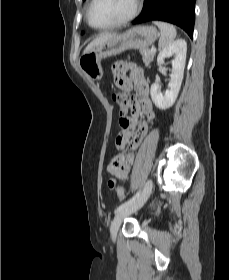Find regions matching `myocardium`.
I'll use <instances>...</instances> for the list:
<instances>
[{
	"mask_svg": "<svg viewBox=\"0 0 229 280\" xmlns=\"http://www.w3.org/2000/svg\"><path fill=\"white\" fill-rule=\"evenodd\" d=\"M97 1L98 0H92L91 4L89 6L88 12H87V20H88L89 25L92 28L98 29V30H103V29H108V28H113V27H118V26L125 25V24L131 22L133 19H135L142 9V0H135L134 8H133L132 12L127 17H125L121 20H118L116 22H113V23L98 26V25H95L92 22V11H93L94 6L96 5Z\"/></svg>",
	"mask_w": 229,
	"mask_h": 280,
	"instance_id": "f54148a6",
	"label": "myocardium"
}]
</instances>
